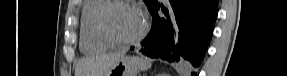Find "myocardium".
Segmentation results:
<instances>
[{
	"mask_svg": "<svg viewBox=\"0 0 287 76\" xmlns=\"http://www.w3.org/2000/svg\"><path fill=\"white\" fill-rule=\"evenodd\" d=\"M117 6L134 7L130 2L123 0H109L101 9L97 17V31L101 38L111 46H125L135 44L141 41L148 32L149 24L146 18H143V27L141 31L132 38H121L117 36L109 26V17L111 12Z\"/></svg>",
	"mask_w": 287,
	"mask_h": 76,
	"instance_id": "obj_1",
	"label": "myocardium"
}]
</instances>
